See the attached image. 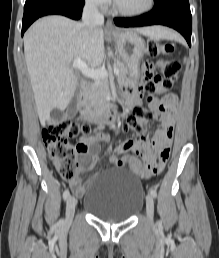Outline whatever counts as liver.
<instances>
[{"label": "liver", "mask_w": 219, "mask_h": 258, "mask_svg": "<svg viewBox=\"0 0 219 258\" xmlns=\"http://www.w3.org/2000/svg\"><path fill=\"white\" fill-rule=\"evenodd\" d=\"M158 30L159 27H145L136 31L156 37ZM24 55L37 114L44 124L53 109L67 108L76 90L77 77L70 64L76 58L91 67L102 64L104 32L101 27L89 31L83 23L63 16H47L25 33Z\"/></svg>", "instance_id": "1"}]
</instances>
